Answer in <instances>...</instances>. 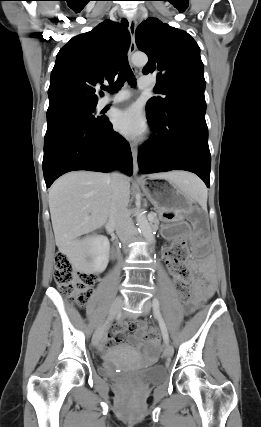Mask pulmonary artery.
<instances>
[{"mask_svg":"<svg viewBox=\"0 0 261 427\" xmlns=\"http://www.w3.org/2000/svg\"><path fill=\"white\" fill-rule=\"evenodd\" d=\"M138 85H139L140 89H148V88L152 87L153 81L150 78L142 77V78H140ZM129 98H130V92L125 90V91L119 92L115 95L104 97L103 99H101L99 105H100V107H106L110 104H116V103L123 102Z\"/></svg>","mask_w":261,"mask_h":427,"instance_id":"pulmonary-artery-1","label":"pulmonary artery"}]
</instances>
